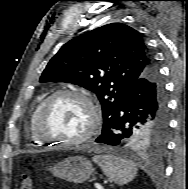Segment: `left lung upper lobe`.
Instances as JSON below:
<instances>
[{
    "label": "left lung upper lobe",
    "instance_id": "obj_1",
    "mask_svg": "<svg viewBox=\"0 0 188 189\" xmlns=\"http://www.w3.org/2000/svg\"><path fill=\"white\" fill-rule=\"evenodd\" d=\"M154 63L138 31L122 23H111L64 44L49 61L40 82H68L96 93L102 106L104 133L129 86ZM166 129L146 127L135 133L127 145L160 152Z\"/></svg>",
    "mask_w": 188,
    "mask_h": 189
}]
</instances>
